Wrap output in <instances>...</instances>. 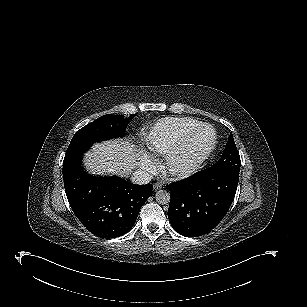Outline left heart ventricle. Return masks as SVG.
I'll use <instances>...</instances> for the list:
<instances>
[{"instance_id": "1", "label": "left heart ventricle", "mask_w": 307, "mask_h": 307, "mask_svg": "<svg viewBox=\"0 0 307 307\" xmlns=\"http://www.w3.org/2000/svg\"><path fill=\"white\" fill-rule=\"evenodd\" d=\"M207 135L210 136L209 131H206ZM205 133H204V143H206V138L205 137ZM200 137V136H199ZM200 139L197 138V140H195V142L191 145H186L184 147H182L177 155L172 159L171 161V166L172 167H186V166H190L195 159L198 157V152H199V148L203 145H201L202 143L198 142ZM203 143V144H204Z\"/></svg>"}]
</instances>
